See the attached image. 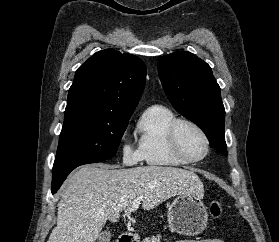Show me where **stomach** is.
Here are the masks:
<instances>
[{
  "mask_svg": "<svg viewBox=\"0 0 279 242\" xmlns=\"http://www.w3.org/2000/svg\"><path fill=\"white\" fill-rule=\"evenodd\" d=\"M167 220L173 232L184 236H195L207 226V207L199 197L181 194L170 204Z\"/></svg>",
  "mask_w": 279,
  "mask_h": 242,
  "instance_id": "1",
  "label": "stomach"
}]
</instances>
